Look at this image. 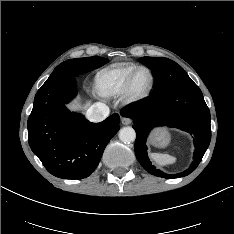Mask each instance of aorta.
<instances>
[{
	"label": "aorta",
	"mask_w": 234,
	"mask_h": 234,
	"mask_svg": "<svg viewBox=\"0 0 234 234\" xmlns=\"http://www.w3.org/2000/svg\"><path fill=\"white\" fill-rule=\"evenodd\" d=\"M136 132L132 127H123L119 131V139L124 143L135 141Z\"/></svg>",
	"instance_id": "762f6f07"
}]
</instances>
